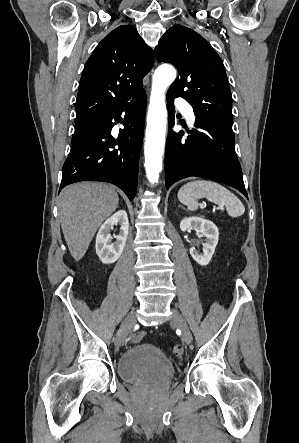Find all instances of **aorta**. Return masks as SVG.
Wrapping results in <instances>:
<instances>
[{
	"label": "aorta",
	"instance_id": "aorta-1",
	"mask_svg": "<svg viewBox=\"0 0 299 443\" xmlns=\"http://www.w3.org/2000/svg\"><path fill=\"white\" fill-rule=\"evenodd\" d=\"M175 78L176 70L172 66L161 65L156 69L152 79L144 145V166L147 178L152 184L158 182L162 171L167 123L165 92Z\"/></svg>",
	"mask_w": 299,
	"mask_h": 443
}]
</instances>
